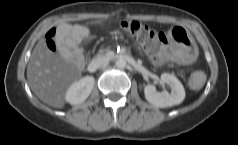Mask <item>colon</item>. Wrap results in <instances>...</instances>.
<instances>
[{"instance_id": "1", "label": "colon", "mask_w": 238, "mask_h": 145, "mask_svg": "<svg viewBox=\"0 0 238 145\" xmlns=\"http://www.w3.org/2000/svg\"><path fill=\"white\" fill-rule=\"evenodd\" d=\"M120 27L136 37L143 49L149 54V56L159 61L163 56V48L166 43L165 35L157 30H154L146 25H143L137 21H122ZM54 30H51L47 34V46L51 50H55L56 45L54 41ZM205 82L204 75L202 73H195L189 79V86L194 90L200 89Z\"/></svg>"}]
</instances>
